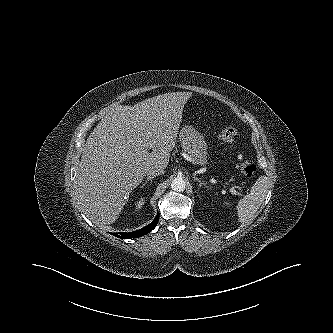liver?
I'll use <instances>...</instances> for the list:
<instances>
[{"label":"liver","mask_w":333,"mask_h":333,"mask_svg":"<svg viewBox=\"0 0 333 333\" xmlns=\"http://www.w3.org/2000/svg\"><path fill=\"white\" fill-rule=\"evenodd\" d=\"M191 96L171 92L134 106L117 105L94 128L83 148L74 190L79 207L94 224L115 222L148 169L167 167Z\"/></svg>","instance_id":"1"}]
</instances>
